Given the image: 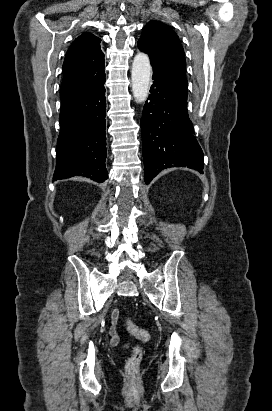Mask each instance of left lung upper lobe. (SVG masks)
<instances>
[{
  "mask_svg": "<svg viewBox=\"0 0 272 411\" xmlns=\"http://www.w3.org/2000/svg\"><path fill=\"white\" fill-rule=\"evenodd\" d=\"M138 48L149 55L153 71L188 89L184 49L170 27L160 21H150L143 28Z\"/></svg>",
  "mask_w": 272,
  "mask_h": 411,
  "instance_id": "5c2ea615",
  "label": "left lung upper lobe"
}]
</instances>
